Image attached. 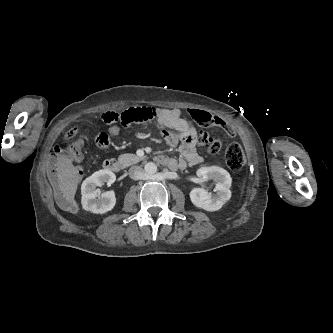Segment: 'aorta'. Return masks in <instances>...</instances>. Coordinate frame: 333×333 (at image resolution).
I'll list each match as a JSON object with an SVG mask.
<instances>
[{
    "mask_svg": "<svg viewBox=\"0 0 333 333\" xmlns=\"http://www.w3.org/2000/svg\"><path fill=\"white\" fill-rule=\"evenodd\" d=\"M144 171L148 175H153L157 172V166L153 162H148L144 166Z\"/></svg>",
    "mask_w": 333,
    "mask_h": 333,
    "instance_id": "obj_1",
    "label": "aorta"
}]
</instances>
